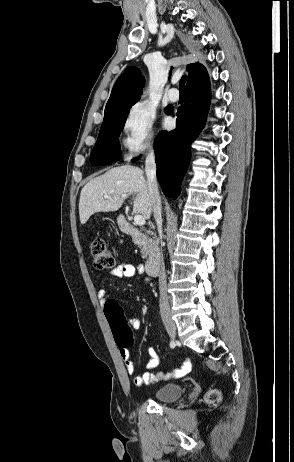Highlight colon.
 <instances>
[{
	"label": "colon",
	"mask_w": 294,
	"mask_h": 462,
	"mask_svg": "<svg viewBox=\"0 0 294 462\" xmlns=\"http://www.w3.org/2000/svg\"><path fill=\"white\" fill-rule=\"evenodd\" d=\"M93 266L99 270L109 269L115 265L114 253L108 248L102 239H95L90 247ZM104 313L113 332L118 346L129 347L133 343L132 330L128 326L122 308L112 299L106 300ZM221 398L219 391H210L206 400L210 404H216Z\"/></svg>",
	"instance_id": "1"
}]
</instances>
